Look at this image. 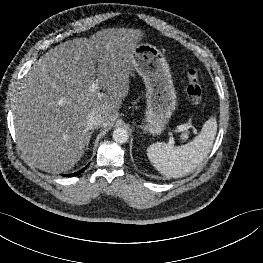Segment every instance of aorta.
<instances>
[{"mask_svg": "<svg viewBox=\"0 0 263 263\" xmlns=\"http://www.w3.org/2000/svg\"><path fill=\"white\" fill-rule=\"evenodd\" d=\"M129 134L128 131L122 127L116 128L113 131V139L115 142L123 144L128 141Z\"/></svg>", "mask_w": 263, "mask_h": 263, "instance_id": "obj_1", "label": "aorta"}]
</instances>
